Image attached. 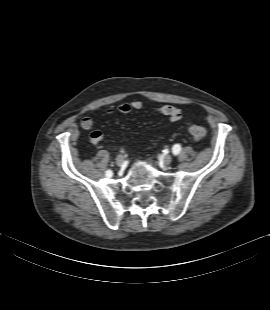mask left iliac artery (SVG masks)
Masks as SVG:
<instances>
[{"mask_svg":"<svg viewBox=\"0 0 270 310\" xmlns=\"http://www.w3.org/2000/svg\"><path fill=\"white\" fill-rule=\"evenodd\" d=\"M172 151L174 155L179 154V152L181 151V146L179 144L174 145Z\"/></svg>","mask_w":270,"mask_h":310,"instance_id":"left-iliac-artery-1","label":"left iliac artery"}]
</instances>
